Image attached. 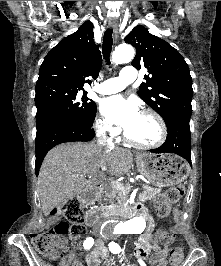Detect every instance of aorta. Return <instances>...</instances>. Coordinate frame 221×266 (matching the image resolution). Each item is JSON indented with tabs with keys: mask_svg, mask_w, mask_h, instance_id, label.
<instances>
[{
	"mask_svg": "<svg viewBox=\"0 0 221 266\" xmlns=\"http://www.w3.org/2000/svg\"><path fill=\"white\" fill-rule=\"evenodd\" d=\"M135 55L134 48L128 44H122L115 48L112 56V61L115 64L130 62ZM145 229V221L141 217H133L123 223H120L116 228L111 227L110 231L124 234H140Z\"/></svg>",
	"mask_w": 221,
	"mask_h": 266,
	"instance_id": "1",
	"label": "aorta"
}]
</instances>
